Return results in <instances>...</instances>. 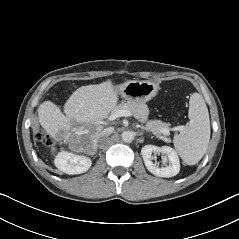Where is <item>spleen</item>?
<instances>
[{
    "mask_svg": "<svg viewBox=\"0 0 239 239\" xmlns=\"http://www.w3.org/2000/svg\"><path fill=\"white\" fill-rule=\"evenodd\" d=\"M189 122L174 137V147L187 165L198 163L206 152L210 140V118L206 103L199 93H193L189 101Z\"/></svg>",
    "mask_w": 239,
    "mask_h": 239,
    "instance_id": "obj_1",
    "label": "spleen"
}]
</instances>
